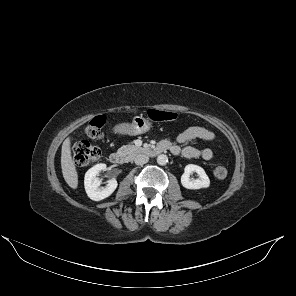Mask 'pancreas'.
<instances>
[{"label": "pancreas", "instance_id": "obj_1", "mask_svg": "<svg viewBox=\"0 0 296 296\" xmlns=\"http://www.w3.org/2000/svg\"><path fill=\"white\" fill-rule=\"evenodd\" d=\"M144 149L142 147H137L135 145H125L119 148L118 152L127 156L128 158H132L137 154L141 153Z\"/></svg>", "mask_w": 296, "mask_h": 296}]
</instances>
